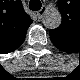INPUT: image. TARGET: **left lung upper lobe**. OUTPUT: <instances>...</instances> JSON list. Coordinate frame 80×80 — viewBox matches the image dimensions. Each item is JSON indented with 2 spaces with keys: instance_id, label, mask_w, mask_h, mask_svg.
<instances>
[{
  "instance_id": "5c2ea615",
  "label": "left lung upper lobe",
  "mask_w": 80,
  "mask_h": 80,
  "mask_svg": "<svg viewBox=\"0 0 80 80\" xmlns=\"http://www.w3.org/2000/svg\"><path fill=\"white\" fill-rule=\"evenodd\" d=\"M62 14V23L60 27H58L55 30L50 31V37L52 40H55L57 37H61L62 39L68 38V30L71 28L74 23V16L70 10L64 9L61 10Z\"/></svg>"
}]
</instances>
